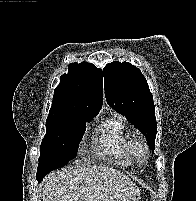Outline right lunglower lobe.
Listing matches in <instances>:
<instances>
[{
    "mask_svg": "<svg viewBox=\"0 0 196 201\" xmlns=\"http://www.w3.org/2000/svg\"><path fill=\"white\" fill-rule=\"evenodd\" d=\"M37 180H38V182H41V180H42V179H40V178H37Z\"/></svg>",
    "mask_w": 196,
    "mask_h": 201,
    "instance_id": "1",
    "label": "right lung lower lobe"
}]
</instances>
